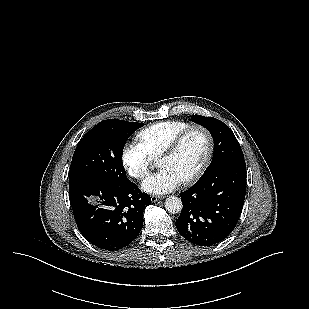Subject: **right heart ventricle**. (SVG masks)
Wrapping results in <instances>:
<instances>
[{
	"instance_id": "1",
	"label": "right heart ventricle",
	"mask_w": 309,
	"mask_h": 309,
	"mask_svg": "<svg viewBox=\"0 0 309 309\" xmlns=\"http://www.w3.org/2000/svg\"><path fill=\"white\" fill-rule=\"evenodd\" d=\"M189 126L191 125L185 121H162L142 129L137 134V139L152 158H157L172 140Z\"/></svg>"
}]
</instances>
